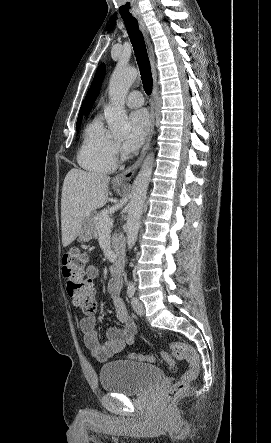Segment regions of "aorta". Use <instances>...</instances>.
Listing matches in <instances>:
<instances>
[{
	"mask_svg": "<svg viewBox=\"0 0 271 443\" xmlns=\"http://www.w3.org/2000/svg\"><path fill=\"white\" fill-rule=\"evenodd\" d=\"M137 74L136 68L116 66L110 78L108 94L111 104L108 108H105L104 116L109 130H112V132H128L131 128L124 104L125 98L137 78ZM153 168L154 154L151 152V154L146 156L141 170L133 182L130 204L127 206L126 239L130 249L135 245L138 237L139 223Z\"/></svg>",
	"mask_w": 271,
	"mask_h": 443,
	"instance_id": "obj_1",
	"label": "aorta"
}]
</instances>
